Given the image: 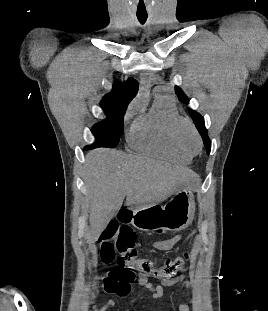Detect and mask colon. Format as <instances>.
<instances>
[{"mask_svg": "<svg viewBox=\"0 0 268 311\" xmlns=\"http://www.w3.org/2000/svg\"><path fill=\"white\" fill-rule=\"evenodd\" d=\"M100 256L104 263L116 262L103 279L107 292H115L125 296L131 291V283L137 273L158 277L173 278L184 269L188 261V253L176 258L166 259L163 265L155 268L150 258H140L135 249L137 237L127 226L109 223L99 237Z\"/></svg>", "mask_w": 268, "mask_h": 311, "instance_id": "5ec220e1", "label": "colon"}]
</instances>
